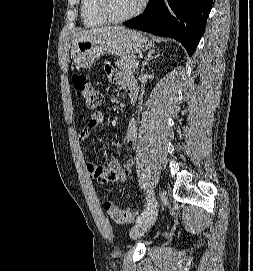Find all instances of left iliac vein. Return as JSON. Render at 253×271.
Listing matches in <instances>:
<instances>
[{
	"mask_svg": "<svg viewBox=\"0 0 253 271\" xmlns=\"http://www.w3.org/2000/svg\"><path fill=\"white\" fill-rule=\"evenodd\" d=\"M158 215V200L153 199L147 215L137 222L130 231V237L137 239L144 235L155 223Z\"/></svg>",
	"mask_w": 253,
	"mask_h": 271,
	"instance_id": "left-iliac-vein-1",
	"label": "left iliac vein"
}]
</instances>
